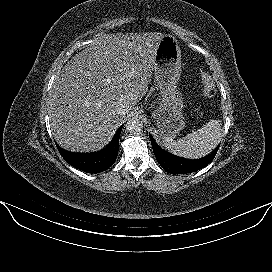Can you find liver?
Returning <instances> with one entry per match:
<instances>
[{
    "label": "liver",
    "mask_w": 272,
    "mask_h": 272,
    "mask_svg": "<svg viewBox=\"0 0 272 272\" xmlns=\"http://www.w3.org/2000/svg\"><path fill=\"white\" fill-rule=\"evenodd\" d=\"M164 36L100 33L67 62L49 100L51 129L62 148L89 152L110 142L124 116L115 106L131 109L147 93Z\"/></svg>",
    "instance_id": "obj_1"
}]
</instances>
